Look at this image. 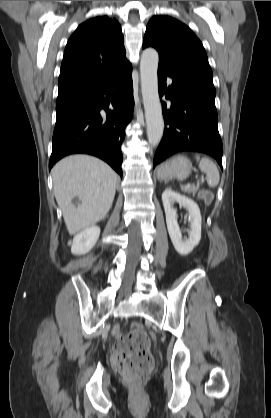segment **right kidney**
Instances as JSON below:
<instances>
[{"label": "right kidney", "mask_w": 271, "mask_h": 418, "mask_svg": "<svg viewBox=\"0 0 271 418\" xmlns=\"http://www.w3.org/2000/svg\"><path fill=\"white\" fill-rule=\"evenodd\" d=\"M99 235L100 228L98 226L84 229L73 238V241L69 242L71 252L75 255L88 253L96 244Z\"/></svg>", "instance_id": "1"}]
</instances>
